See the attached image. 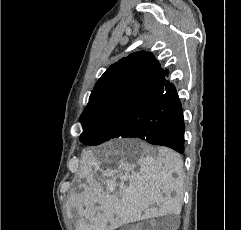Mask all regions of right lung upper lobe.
I'll list each match as a JSON object with an SVG mask.
<instances>
[{"label":"right lung upper lobe","instance_id":"obj_1","mask_svg":"<svg viewBox=\"0 0 241 230\" xmlns=\"http://www.w3.org/2000/svg\"><path fill=\"white\" fill-rule=\"evenodd\" d=\"M165 71L152 53L135 52L122 58L95 84L80 121H96L114 110L151 104L160 93Z\"/></svg>","mask_w":241,"mask_h":230}]
</instances>
